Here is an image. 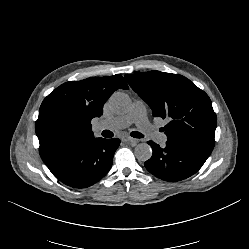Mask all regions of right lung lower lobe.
Listing matches in <instances>:
<instances>
[{
  "mask_svg": "<svg viewBox=\"0 0 249 249\" xmlns=\"http://www.w3.org/2000/svg\"><path fill=\"white\" fill-rule=\"evenodd\" d=\"M119 145L120 140L117 138L78 141L46 159L44 163L64 184L86 188L108 173Z\"/></svg>",
  "mask_w": 249,
  "mask_h": 249,
  "instance_id": "obj_1",
  "label": "right lung lower lobe"
}]
</instances>
